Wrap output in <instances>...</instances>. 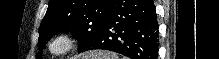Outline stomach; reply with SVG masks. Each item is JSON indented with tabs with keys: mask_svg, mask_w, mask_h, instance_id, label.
Masks as SVG:
<instances>
[{
	"mask_svg": "<svg viewBox=\"0 0 219 59\" xmlns=\"http://www.w3.org/2000/svg\"><path fill=\"white\" fill-rule=\"evenodd\" d=\"M87 57H91L92 59H100L101 54H97L96 52H93L91 54H88ZM109 59V58H108Z\"/></svg>",
	"mask_w": 219,
	"mask_h": 59,
	"instance_id": "0dacf381",
	"label": "stomach"
}]
</instances>
